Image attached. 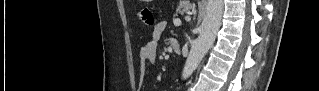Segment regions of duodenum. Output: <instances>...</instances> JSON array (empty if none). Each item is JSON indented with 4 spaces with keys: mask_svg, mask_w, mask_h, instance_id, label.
Masks as SVG:
<instances>
[{
    "mask_svg": "<svg viewBox=\"0 0 319 91\" xmlns=\"http://www.w3.org/2000/svg\"><path fill=\"white\" fill-rule=\"evenodd\" d=\"M170 46L174 52H176V53L180 52V44L176 39H171Z\"/></svg>",
    "mask_w": 319,
    "mask_h": 91,
    "instance_id": "410a0bca",
    "label": "duodenum"
}]
</instances>
